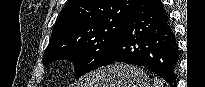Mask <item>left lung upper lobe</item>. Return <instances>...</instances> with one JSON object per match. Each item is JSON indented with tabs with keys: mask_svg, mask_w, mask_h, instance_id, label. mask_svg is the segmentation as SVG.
I'll use <instances>...</instances> for the list:
<instances>
[{
	"mask_svg": "<svg viewBox=\"0 0 205 87\" xmlns=\"http://www.w3.org/2000/svg\"><path fill=\"white\" fill-rule=\"evenodd\" d=\"M137 0H70L56 21L43 55L72 61L75 77L101 67L112 54L121 29Z\"/></svg>",
	"mask_w": 205,
	"mask_h": 87,
	"instance_id": "5c2ea615",
	"label": "left lung upper lobe"
}]
</instances>
